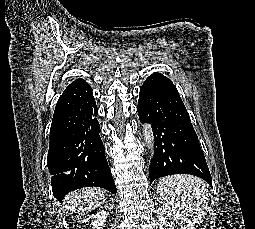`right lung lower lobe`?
<instances>
[{"label":"right lung lower lobe","mask_w":255,"mask_h":229,"mask_svg":"<svg viewBox=\"0 0 255 229\" xmlns=\"http://www.w3.org/2000/svg\"><path fill=\"white\" fill-rule=\"evenodd\" d=\"M92 89L78 78L60 96L50 129L48 168L53 194L63 199L70 191L101 187L116 193Z\"/></svg>","instance_id":"obj_1"}]
</instances>
